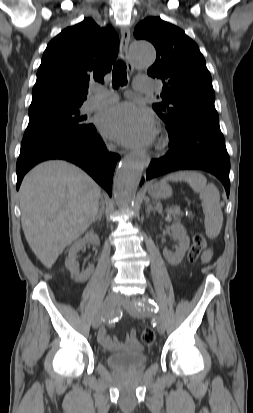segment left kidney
Segmentation results:
<instances>
[{
    "instance_id": "obj_1",
    "label": "left kidney",
    "mask_w": 253,
    "mask_h": 413,
    "mask_svg": "<svg viewBox=\"0 0 253 413\" xmlns=\"http://www.w3.org/2000/svg\"><path fill=\"white\" fill-rule=\"evenodd\" d=\"M172 235L178 239L179 246L176 249L175 254H171L167 249L163 250V255L169 264L176 266L183 260L186 251L190 245V239L186 234L185 227L180 223H174L171 225Z\"/></svg>"
}]
</instances>
